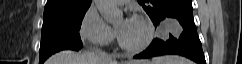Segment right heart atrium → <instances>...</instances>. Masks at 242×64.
<instances>
[{"label": "right heart atrium", "instance_id": "d8ad5b80", "mask_svg": "<svg viewBox=\"0 0 242 64\" xmlns=\"http://www.w3.org/2000/svg\"><path fill=\"white\" fill-rule=\"evenodd\" d=\"M81 40L91 46H107L115 39V31L99 15L94 6H90L84 13L80 26Z\"/></svg>", "mask_w": 242, "mask_h": 64}]
</instances>
